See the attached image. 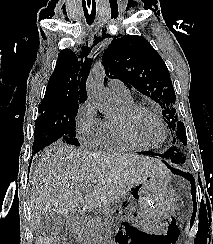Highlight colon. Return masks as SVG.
<instances>
[{
  "label": "colon",
  "instance_id": "1",
  "mask_svg": "<svg viewBox=\"0 0 213 244\" xmlns=\"http://www.w3.org/2000/svg\"><path fill=\"white\" fill-rule=\"evenodd\" d=\"M39 244H53L51 236H42L39 239Z\"/></svg>",
  "mask_w": 213,
  "mask_h": 244
}]
</instances>
